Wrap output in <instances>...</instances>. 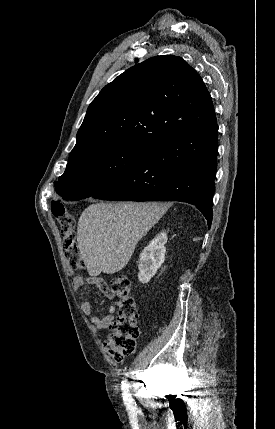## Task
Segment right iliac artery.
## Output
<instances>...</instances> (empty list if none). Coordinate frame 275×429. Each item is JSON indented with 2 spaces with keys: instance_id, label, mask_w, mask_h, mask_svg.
<instances>
[{
  "instance_id": "82829eb1",
  "label": "right iliac artery",
  "mask_w": 275,
  "mask_h": 429,
  "mask_svg": "<svg viewBox=\"0 0 275 429\" xmlns=\"http://www.w3.org/2000/svg\"><path fill=\"white\" fill-rule=\"evenodd\" d=\"M123 399L125 404L129 407H133V399L128 391V384L126 381L122 382Z\"/></svg>"
}]
</instances>
